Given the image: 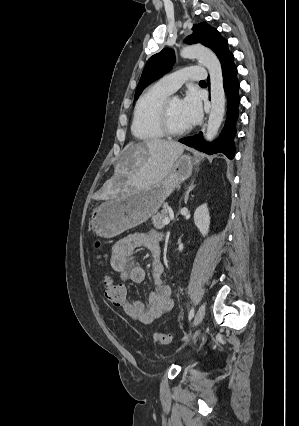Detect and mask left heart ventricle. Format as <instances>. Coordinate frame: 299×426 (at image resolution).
I'll list each match as a JSON object with an SVG mask.
<instances>
[{
	"label": "left heart ventricle",
	"instance_id": "b2bd125f",
	"mask_svg": "<svg viewBox=\"0 0 299 426\" xmlns=\"http://www.w3.org/2000/svg\"><path fill=\"white\" fill-rule=\"evenodd\" d=\"M170 123L173 128L181 129L189 126L184 118L182 112V104L181 100L178 98H174L170 105Z\"/></svg>",
	"mask_w": 299,
	"mask_h": 426
}]
</instances>
